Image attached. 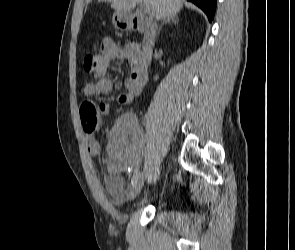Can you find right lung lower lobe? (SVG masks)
<instances>
[{"label":"right lung lower lobe","instance_id":"98d812e1","mask_svg":"<svg viewBox=\"0 0 295 250\" xmlns=\"http://www.w3.org/2000/svg\"><path fill=\"white\" fill-rule=\"evenodd\" d=\"M190 2L195 3L199 6L208 16L209 21H212L215 8H216V0H188Z\"/></svg>","mask_w":295,"mask_h":250}]
</instances>
